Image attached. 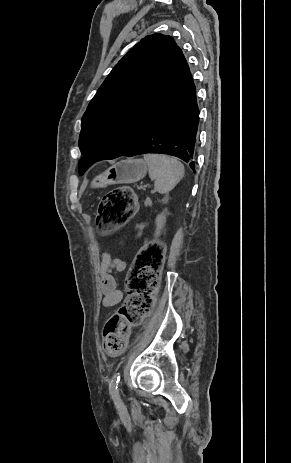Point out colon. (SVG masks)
Returning <instances> with one entry per match:
<instances>
[{
	"label": "colon",
	"mask_w": 291,
	"mask_h": 463,
	"mask_svg": "<svg viewBox=\"0 0 291 463\" xmlns=\"http://www.w3.org/2000/svg\"><path fill=\"white\" fill-rule=\"evenodd\" d=\"M136 208L137 197L131 188L122 186L109 191L98 206V230L109 232L124 225ZM163 260L164 246L156 241L144 245L136 255L125 280L126 299L103 329V346L107 354L122 353L131 326L139 324L151 313Z\"/></svg>",
	"instance_id": "obj_1"
}]
</instances>
